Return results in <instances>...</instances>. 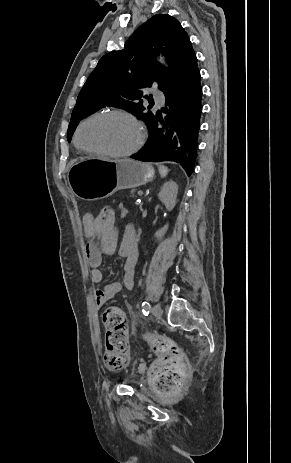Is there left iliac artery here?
Here are the masks:
<instances>
[{
	"instance_id": "obj_1",
	"label": "left iliac artery",
	"mask_w": 291,
	"mask_h": 463,
	"mask_svg": "<svg viewBox=\"0 0 291 463\" xmlns=\"http://www.w3.org/2000/svg\"><path fill=\"white\" fill-rule=\"evenodd\" d=\"M150 311V304L147 301H144L142 303V312L145 316L149 314Z\"/></svg>"
}]
</instances>
